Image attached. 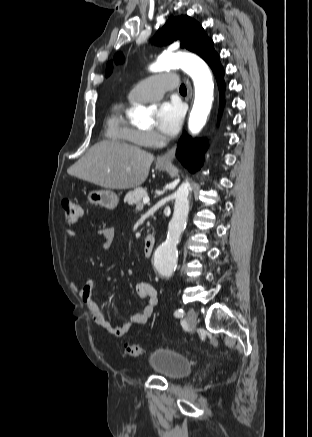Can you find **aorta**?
I'll return each instance as SVG.
<instances>
[{
  "mask_svg": "<svg viewBox=\"0 0 312 437\" xmlns=\"http://www.w3.org/2000/svg\"><path fill=\"white\" fill-rule=\"evenodd\" d=\"M182 68L191 76L195 87V98L191 110L188 128L192 134H197L204 127L213 101L214 84L207 64L199 57L187 53H163L157 62L150 67L153 72H160L171 68ZM133 117L141 122L149 120L145 107L138 106L133 112ZM190 183L181 184L175 193L173 217L168 226V235L155 255V267L159 274L171 275L178 260L177 244L186 226L189 213Z\"/></svg>",
  "mask_w": 312,
  "mask_h": 437,
  "instance_id": "obj_1",
  "label": "aorta"
}]
</instances>
